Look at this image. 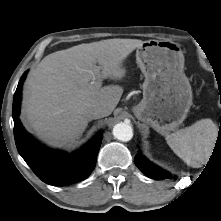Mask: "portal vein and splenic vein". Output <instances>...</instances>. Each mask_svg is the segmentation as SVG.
<instances>
[{
    "mask_svg": "<svg viewBox=\"0 0 221 221\" xmlns=\"http://www.w3.org/2000/svg\"><path fill=\"white\" fill-rule=\"evenodd\" d=\"M92 84H95V85H97V86H100V85H101V79H99V80H97V81L93 80V81H92Z\"/></svg>",
    "mask_w": 221,
    "mask_h": 221,
    "instance_id": "18ae733b",
    "label": "portal vein and splenic vein"
}]
</instances>
